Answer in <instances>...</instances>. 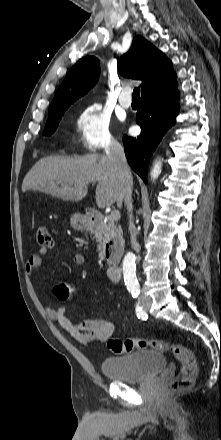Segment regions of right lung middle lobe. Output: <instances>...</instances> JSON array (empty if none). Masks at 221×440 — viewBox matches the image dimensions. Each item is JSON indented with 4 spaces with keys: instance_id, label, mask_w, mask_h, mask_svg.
<instances>
[{
    "instance_id": "obj_1",
    "label": "right lung middle lobe",
    "mask_w": 221,
    "mask_h": 440,
    "mask_svg": "<svg viewBox=\"0 0 221 440\" xmlns=\"http://www.w3.org/2000/svg\"><path fill=\"white\" fill-rule=\"evenodd\" d=\"M69 106H64L56 109H49V118L46 122L45 129L43 131V134L46 136H50L54 133L56 128L58 127V123L61 120V117L63 116L64 112Z\"/></svg>"
}]
</instances>
